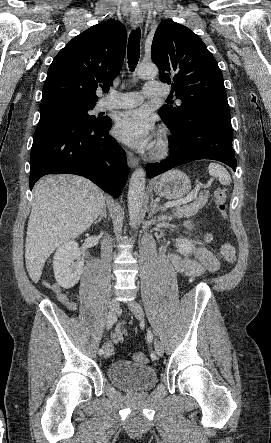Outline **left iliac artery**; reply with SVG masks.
I'll use <instances>...</instances> for the list:
<instances>
[{"mask_svg":"<svg viewBox=\"0 0 271 443\" xmlns=\"http://www.w3.org/2000/svg\"><path fill=\"white\" fill-rule=\"evenodd\" d=\"M146 340H147V342H148L149 344L152 343V340H153V334H152L151 330H148ZM150 357H151L152 360H156V359H157V356H156V354H155L154 351H151Z\"/></svg>","mask_w":271,"mask_h":443,"instance_id":"left-iliac-artery-1","label":"left iliac artery"}]
</instances>
